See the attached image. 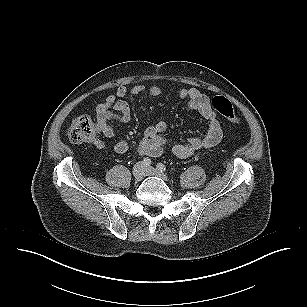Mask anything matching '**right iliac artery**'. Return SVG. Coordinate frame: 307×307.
Instances as JSON below:
<instances>
[{
	"label": "right iliac artery",
	"mask_w": 307,
	"mask_h": 307,
	"mask_svg": "<svg viewBox=\"0 0 307 307\" xmlns=\"http://www.w3.org/2000/svg\"><path fill=\"white\" fill-rule=\"evenodd\" d=\"M142 163H143V165H144L145 167H148V166L151 165V159H149V158H144V159L142 160Z\"/></svg>",
	"instance_id": "right-iliac-artery-1"
}]
</instances>
